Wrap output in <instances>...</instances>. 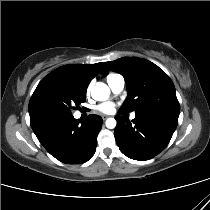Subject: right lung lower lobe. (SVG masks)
Instances as JSON below:
<instances>
[{
    "mask_svg": "<svg viewBox=\"0 0 210 210\" xmlns=\"http://www.w3.org/2000/svg\"><path fill=\"white\" fill-rule=\"evenodd\" d=\"M102 118L89 115L75 119L72 115L43 122L32 127L39 142L56 159L67 164L88 161L95 153Z\"/></svg>",
    "mask_w": 210,
    "mask_h": 210,
    "instance_id": "1",
    "label": "right lung lower lobe"
}]
</instances>
